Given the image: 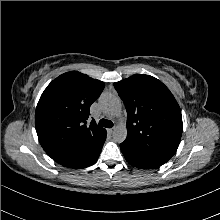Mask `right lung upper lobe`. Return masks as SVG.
<instances>
[{"mask_svg":"<svg viewBox=\"0 0 220 220\" xmlns=\"http://www.w3.org/2000/svg\"><path fill=\"white\" fill-rule=\"evenodd\" d=\"M105 84L77 71L54 79L42 93L35 113L36 132L45 152L69 168L90 164L106 139V130L91 121V104Z\"/></svg>","mask_w":220,"mask_h":220,"instance_id":"obj_1","label":"right lung upper lobe"}]
</instances>
